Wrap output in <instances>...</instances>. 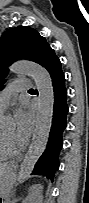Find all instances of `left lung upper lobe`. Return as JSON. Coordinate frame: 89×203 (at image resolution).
<instances>
[{"mask_svg": "<svg viewBox=\"0 0 89 203\" xmlns=\"http://www.w3.org/2000/svg\"><path fill=\"white\" fill-rule=\"evenodd\" d=\"M46 39L29 26H18L7 30L0 37V89H3L8 67L18 59H29L40 64Z\"/></svg>", "mask_w": 89, "mask_h": 203, "instance_id": "5c2ea615", "label": "left lung upper lobe"}]
</instances>
